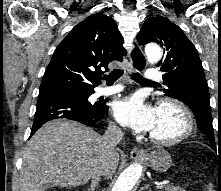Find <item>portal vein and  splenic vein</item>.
Instances as JSON below:
<instances>
[{"label":"portal vein and splenic vein","mask_w":221,"mask_h":191,"mask_svg":"<svg viewBox=\"0 0 221 191\" xmlns=\"http://www.w3.org/2000/svg\"><path fill=\"white\" fill-rule=\"evenodd\" d=\"M167 183H168V181L159 182V183H157V187H158V188H162V187L165 186Z\"/></svg>","instance_id":"18ae733b"}]
</instances>
